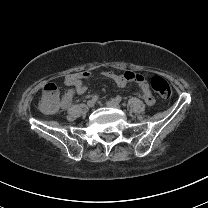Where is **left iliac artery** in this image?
Segmentation results:
<instances>
[{"instance_id":"left-iliac-artery-1","label":"left iliac artery","mask_w":208,"mask_h":208,"mask_svg":"<svg viewBox=\"0 0 208 208\" xmlns=\"http://www.w3.org/2000/svg\"><path fill=\"white\" fill-rule=\"evenodd\" d=\"M115 100H116L117 102H121V101H122V97L116 96Z\"/></svg>"}]
</instances>
